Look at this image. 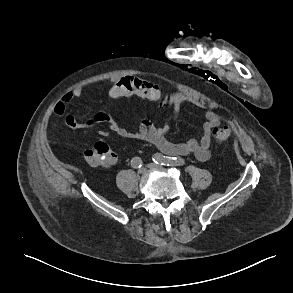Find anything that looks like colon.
I'll use <instances>...</instances> for the list:
<instances>
[{"mask_svg": "<svg viewBox=\"0 0 293 293\" xmlns=\"http://www.w3.org/2000/svg\"><path fill=\"white\" fill-rule=\"evenodd\" d=\"M140 96L147 100H153L157 96L153 92L141 91ZM214 139L218 143H224L230 136V129L226 125L215 126L212 130ZM115 154L104 142H97L91 148L85 151L84 160L92 166L108 167L113 163Z\"/></svg>", "mask_w": 293, "mask_h": 293, "instance_id": "1", "label": "colon"}]
</instances>
